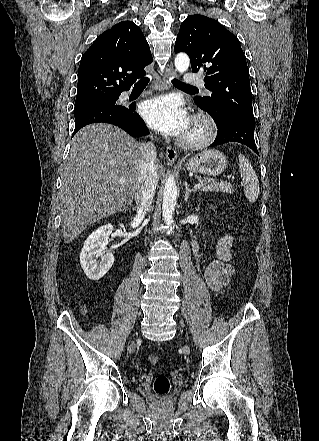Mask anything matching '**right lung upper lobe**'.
Returning a JSON list of instances; mask_svg holds the SVG:
<instances>
[{
  "label": "right lung upper lobe",
  "mask_w": 319,
  "mask_h": 441,
  "mask_svg": "<svg viewBox=\"0 0 319 441\" xmlns=\"http://www.w3.org/2000/svg\"><path fill=\"white\" fill-rule=\"evenodd\" d=\"M153 61L140 28L122 21L101 34L83 54L76 101L119 96L146 72Z\"/></svg>",
  "instance_id": "obj_1"
}]
</instances>
